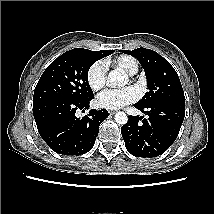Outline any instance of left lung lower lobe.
Here are the masks:
<instances>
[{"label":"left lung lower lobe","instance_id":"obj_1","mask_svg":"<svg viewBox=\"0 0 214 214\" xmlns=\"http://www.w3.org/2000/svg\"><path fill=\"white\" fill-rule=\"evenodd\" d=\"M148 119L130 116L121 134L129 153L139 157L163 154L176 140L185 117V101L164 100L141 107ZM142 120V122L140 121Z\"/></svg>","mask_w":214,"mask_h":214}]
</instances>
